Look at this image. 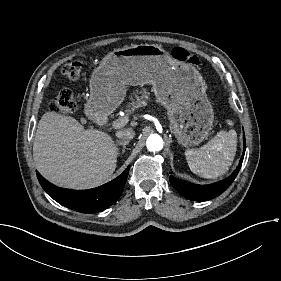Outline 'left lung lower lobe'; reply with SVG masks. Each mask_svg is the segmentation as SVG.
Instances as JSON below:
<instances>
[{
	"mask_svg": "<svg viewBox=\"0 0 281 281\" xmlns=\"http://www.w3.org/2000/svg\"><path fill=\"white\" fill-rule=\"evenodd\" d=\"M243 142L244 150L239 165L228 178L214 184L196 185L170 176V183L180 194L190 200L206 201L219 196L231 185L241 168L246 149L245 135H243Z\"/></svg>",
	"mask_w": 281,
	"mask_h": 281,
	"instance_id": "obj_1",
	"label": "left lung lower lobe"
}]
</instances>
